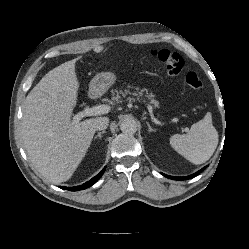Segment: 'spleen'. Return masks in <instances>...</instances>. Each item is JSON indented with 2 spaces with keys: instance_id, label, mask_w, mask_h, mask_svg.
Returning <instances> with one entry per match:
<instances>
[{
  "instance_id": "obj_1",
  "label": "spleen",
  "mask_w": 249,
  "mask_h": 249,
  "mask_svg": "<svg viewBox=\"0 0 249 249\" xmlns=\"http://www.w3.org/2000/svg\"><path fill=\"white\" fill-rule=\"evenodd\" d=\"M218 132L212 124V115L194 123L187 134H174L170 138L172 148L193 164L205 163L218 145Z\"/></svg>"
}]
</instances>
